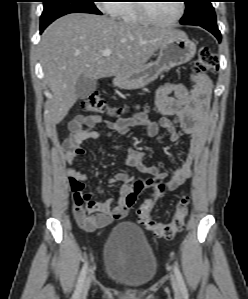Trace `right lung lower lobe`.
I'll use <instances>...</instances> for the list:
<instances>
[{
	"label": "right lung lower lobe",
	"mask_w": 248,
	"mask_h": 299,
	"mask_svg": "<svg viewBox=\"0 0 248 299\" xmlns=\"http://www.w3.org/2000/svg\"><path fill=\"white\" fill-rule=\"evenodd\" d=\"M45 28H46V27L42 26V27H41V32H43V30H44Z\"/></svg>",
	"instance_id": "right-lung-lower-lobe-1"
}]
</instances>
